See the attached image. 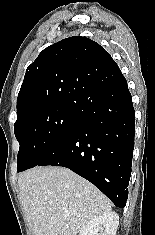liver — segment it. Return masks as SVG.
<instances>
[{
    "label": "liver",
    "mask_w": 155,
    "mask_h": 235,
    "mask_svg": "<svg viewBox=\"0 0 155 235\" xmlns=\"http://www.w3.org/2000/svg\"><path fill=\"white\" fill-rule=\"evenodd\" d=\"M18 186L33 235H77L92 219L111 212L93 184L64 167L27 170Z\"/></svg>",
    "instance_id": "liver-1"
}]
</instances>
